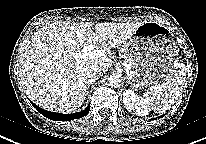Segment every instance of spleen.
Returning <instances> with one entry per match:
<instances>
[{
  "instance_id": "spleen-1",
  "label": "spleen",
  "mask_w": 206,
  "mask_h": 144,
  "mask_svg": "<svg viewBox=\"0 0 206 144\" xmlns=\"http://www.w3.org/2000/svg\"><path fill=\"white\" fill-rule=\"evenodd\" d=\"M169 79L161 85H155L144 93V100L156 113H163L176 102L185 83V68L177 62Z\"/></svg>"
}]
</instances>
